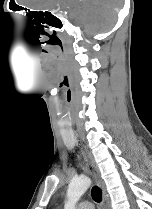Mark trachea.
<instances>
[{"label":"trachea","instance_id":"trachea-1","mask_svg":"<svg viewBox=\"0 0 152 209\" xmlns=\"http://www.w3.org/2000/svg\"><path fill=\"white\" fill-rule=\"evenodd\" d=\"M91 195L94 201L101 202L102 200V191L98 186H94L91 190Z\"/></svg>","mask_w":152,"mask_h":209}]
</instances>
